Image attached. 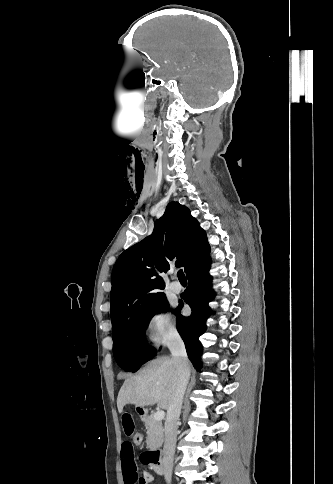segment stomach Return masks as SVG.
Returning <instances> with one entry per match:
<instances>
[{"mask_svg": "<svg viewBox=\"0 0 333 484\" xmlns=\"http://www.w3.org/2000/svg\"><path fill=\"white\" fill-rule=\"evenodd\" d=\"M136 411L141 417H144L146 414V410L143 407H136Z\"/></svg>", "mask_w": 333, "mask_h": 484, "instance_id": "0dacf381", "label": "stomach"}]
</instances>
